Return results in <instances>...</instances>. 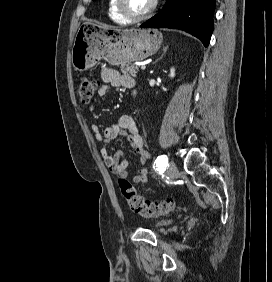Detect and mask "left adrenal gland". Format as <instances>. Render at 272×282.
<instances>
[{
	"instance_id": "left-adrenal-gland-1",
	"label": "left adrenal gland",
	"mask_w": 272,
	"mask_h": 282,
	"mask_svg": "<svg viewBox=\"0 0 272 282\" xmlns=\"http://www.w3.org/2000/svg\"><path fill=\"white\" fill-rule=\"evenodd\" d=\"M167 50H168V46L164 47L162 55L158 59H156L153 63H156L158 60L162 59V57L165 55Z\"/></svg>"
}]
</instances>
